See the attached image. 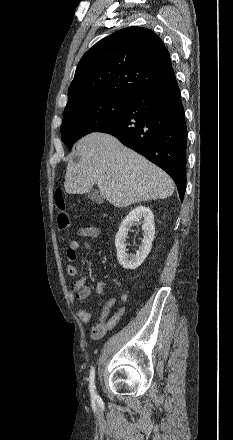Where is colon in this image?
I'll return each instance as SVG.
<instances>
[{"instance_id": "obj_1", "label": "colon", "mask_w": 233, "mask_h": 440, "mask_svg": "<svg viewBox=\"0 0 233 440\" xmlns=\"http://www.w3.org/2000/svg\"><path fill=\"white\" fill-rule=\"evenodd\" d=\"M55 202L57 207L56 223L59 229H67L70 227V218L66 211V202L60 189L56 191Z\"/></svg>"}]
</instances>
